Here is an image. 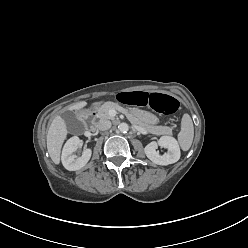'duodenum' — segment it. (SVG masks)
<instances>
[{
	"label": "duodenum",
	"mask_w": 248,
	"mask_h": 248,
	"mask_svg": "<svg viewBox=\"0 0 248 248\" xmlns=\"http://www.w3.org/2000/svg\"><path fill=\"white\" fill-rule=\"evenodd\" d=\"M97 112L95 109L88 110L82 117L81 120L84 122H91L93 119L96 118ZM90 130L94 131L96 130L95 124L90 125Z\"/></svg>",
	"instance_id": "obj_1"
}]
</instances>
